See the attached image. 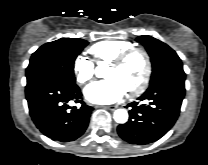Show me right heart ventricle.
Returning <instances> with one entry per match:
<instances>
[{
  "label": "right heart ventricle",
  "mask_w": 208,
  "mask_h": 165,
  "mask_svg": "<svg viewBox=\"0 0 208 165\" xmlns=\"http://www.w3.org/2000/svg\"><path fill=\"white\" fill-rule=\"evenodd\" d=\"M132 47L134 44L127 40L105 39L92 45L89 52L97 62H110L121 52Z\"/></svg>",
  "instance_id": "right-heart-ventricle-1"
}]
</instances>
